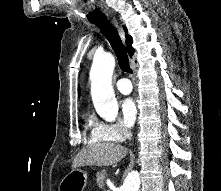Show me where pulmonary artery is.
Masks as SVG:
<instances>
[{
    "label": "pulmonary artery",
    "instance_id": "obj_1",
    "mask_svg": "<svg viewBox=\"0 0 221 191\" xmlns=\"http://www.w3.org/2000/svg\"><path fill=\"white\" fill-rule=\"evenodd\" d=\"M116 88L123 94H128L132 91V84L126 78H121L116 82Z\"/></svg>",
    "mask_w": 221,
    "mask_h": 191
}]
</instances>
